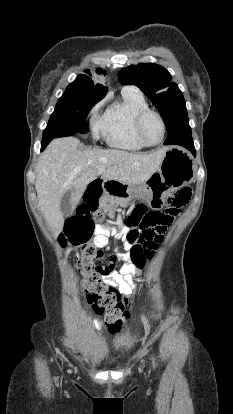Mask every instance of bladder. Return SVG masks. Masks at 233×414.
Instances as JSON below:
<instances>
[{
  "label": "bladder",
  "instance_id": "bladder-1",
  "mask_svg": "<svg viewBox=\"0 0 233 414\" xmlns=\"http://www.w3.org/2000/svg\"><path fill=\"white\" fill-rule=\"evenodd\" d=\"M104 364L106 366L113 367V366H116L118 364V361L116 359H113V358L112 359H107V360L104 361Z\"/></svg>",
  "mask_w": 233,
  "mask_h": 414
}]
</instances>
